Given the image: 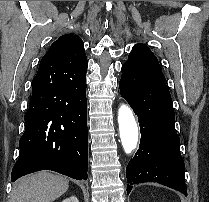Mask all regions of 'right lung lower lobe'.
Segmentation results:
<instances>
[{"instance_id":"98d812e1","label":"right lung lower lobe","mask_w":209,"mask_h":202,"mask_svg":"<svg viewBox=\"0 0 209 202\" xmlns=\"http://www.w3.org/2000/svg\"><path fill=\"white\" fill-rule=\"evenodd\" d=\"M55 63V59L42 58L32 80L25 132L11 181L40 170L87 179L86 77L72 80L56 72L52 67Z\"/></svg>"}]
</instances>
